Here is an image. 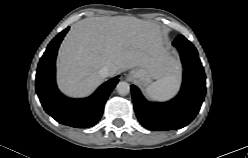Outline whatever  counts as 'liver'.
<instances>
[{"label": "liver", "mask_w": 248, "mask_h": 158, "mask_svg": "<svg viewBox=\"0 0 248 158\" xmlns=\"http://www.w3.org/2000/svg\"><path fill=\"white\" fill-rule=\"evenodd\" d=\"M105 66L110 77L138 67L147 69L154 79L177 68L163 47L161 29L155 23L129 16L76 22L59 49V88L71 97L88 96L102 83L99 70Z\"/></svg>", "instance_id": "1"}]
</instances>
